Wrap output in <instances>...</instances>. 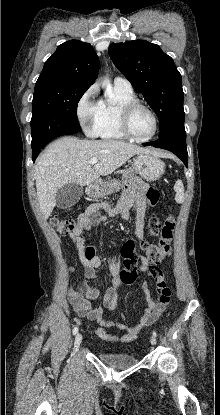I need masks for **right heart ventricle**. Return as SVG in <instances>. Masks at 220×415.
I'll return each instance as SVG.
<instances>
[{"label":"right heart ventricle","mask_w":220,"mask_h":415,"mask_svg":"<svg viewBox=\"0 0 220 415\" xmlns=\"http://www.w3.org/2000/svg\"><path fill=\"white\" fill-rule=\"evenodd\" d=\"M135 99L133 91L113 88L104 100L99 101L100 113L96 126V135L104 139H126L119 128V108Z\"/></svg>","instance_id":"1"}]
</instances>
